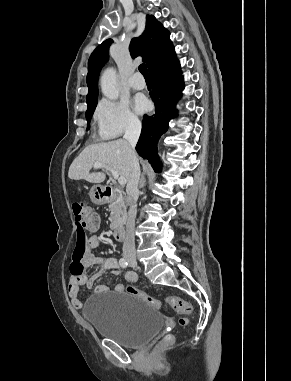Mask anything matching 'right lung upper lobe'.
Returning <instances> with one entry per match:
<instances>
[{"label": "right lung upper lobe", "mask_w": 291, "mask_h": 381, "mask_svg": "<svg viewBox=\"0 0 291 381\" xmlns=\"http://www.w3.org/2000/svg\"><path fill=\"white\" fill-rule=\"evenodd\" d=\"M169 32L158 22L154 16L147 15L144 33L132 39L130 52L132 57L142 56L147 67L151 70L174 52V47L169 39ZM113 41L105 40L91 54L88 61L87 85L89 92L86 97L87 105L97 100L98 77L101 68L108 60L109 46Z\"/></svg>", "instance_id": "1"}]
</instances>
